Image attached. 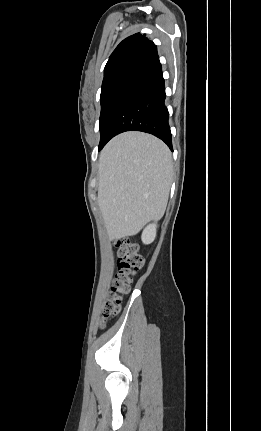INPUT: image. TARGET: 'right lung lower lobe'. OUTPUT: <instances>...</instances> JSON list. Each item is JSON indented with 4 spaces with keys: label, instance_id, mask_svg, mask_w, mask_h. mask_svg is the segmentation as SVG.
Here are the masks:
<instances>
[{
    "label": "right lung lower lobe",
    "instance_id": "obj_1",
    "mask_svg": "<svg viewBox=\"0 0 261 431\" xmlns=\"http://www.w3.org/2000/svg\"><path fill=\"white\" fill-rule=\"evenodd\" d=\"M165 87L159 59L144 67L122 99L109 128L110 140L125 131H142L172 148Z\"/></svg>",
    "mask_w": 261,
    "mask_h": 431
}]
</instances>
